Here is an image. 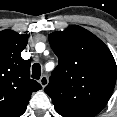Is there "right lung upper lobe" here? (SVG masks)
Masks as SVG:
<instances>
[{"label":"right lung upper lobe","instance_id":"obj_1","mask_svg":"<svg viewBox=\"0 0 117 117\" xmlns=\"http://www.w3.org/2000/svg\"><path fill=\"white\" fill-rule=\"evenodd\" d=\"M27 42V34L12 30L0 32V117L21 116L31 93L42 88L30 79V60L21 57Z\"/></svg>","mask_w":117,"mask_h":117}]
</instances>
